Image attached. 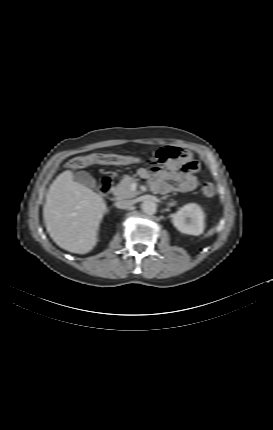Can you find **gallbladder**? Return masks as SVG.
I'll return each instance as SVG.
<instances>
[{
	"label": "gallbladder",
	"mask_w": 273,
	"mask_h": 430,
	"mask_svg": "<svg viewBox=\"0 0 273 430\" xmlns=\"http://www.w3.org/2000/svg\"><path fill=\"white\" fill-rule=\"evenodd\" d=\"M74 180L90 188H95L97 185L96 180L88 172L85 171H79L75 173Z\"/></svg>",
	"instance_id": "obj_1"
}]
</instances>
